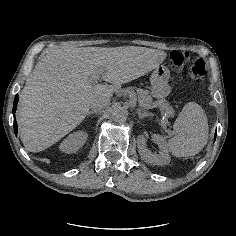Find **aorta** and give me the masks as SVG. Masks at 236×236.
I'll return each instance as SVG.
<instances>
[{
  "label": "aorta",
  "mask_w": 236,
  "mask_h": 236,
  "mask_svg": "<svg viewBox=\"0 0 236 236\" xmlns=\"http://www.w3.org/2000/svg\"><path fill=\"white\" fill-rule=\"evenodd\" d=\"M111 116L114 121H125L128 117V111L123 106L115 105L112 107Z\"/></svg>",
  "instance_id": "762f6f07"
}]
</instances>
